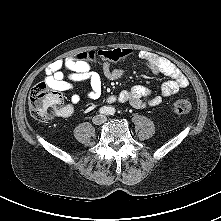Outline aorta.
Wrapping results in <instances>:
<instances>
[{"label": "aorta", "instance_id": "762f6f07", "mask_svg": "<svg viewBox=\"0 0 221 221\" xmlns=\"http://www.w3.org/2000/svg\"><path fill=\"white\" fill-rule=\"evenodd\" d=\"M115 112L114 108L109 107V114H113Z\"/></svg>", "mask_w": 221, "mask_h": 221}]
</instances>
